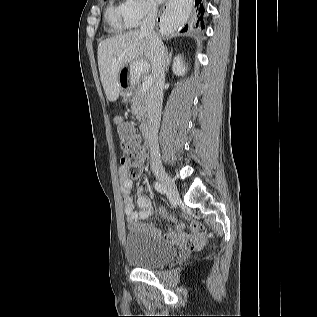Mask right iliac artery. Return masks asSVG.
<instances>
[{
	"label": "right iliac artery",
	"instance_id": "obj_1",
	"mask_svg": "<svg viewBox=\"0 0 317 317\" xmlns=\"http://www.w3.org/2000/svg\"><path fill=\"white\" fill-rule=\"evenodd\" d=\"M154 187L161 194H165L167 191L166 188L162 184H160L159 182H155Z\"/></svg>",
	"mask_w": 317,
	"mask_h": 317
}]
</instances>
